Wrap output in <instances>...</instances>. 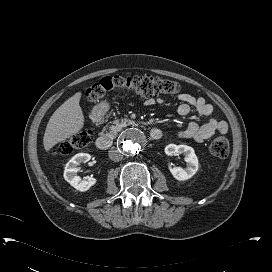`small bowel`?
Instances as JSON below:
<instances>
[{
    "instance_id": "c3829d8e",
    "label": "small bowel",
    "mask_w": 272,
    "mask_h": 272,
    "mask_svg": "<svg viewBox=\"0 0 272 272\" xmlns=\"http://www.w3.org/2000/svg\"><path fill=\"white\" fill-rule=\"evenodd\" d=\"M177 98L181 101V104L178 107V114L180 116H189L193 107L201 117L207 118V121L202 125H199L194 121L189 122L187 126L178 133L180 138H192L198 142H203L216 133L225 134L228 132V124L224 120L211 117L214 113V107L212 104L206 102L203 97H196L188 93H180ZM163 103L164 101L161 98L147 99L144 102V105L152 106L154 104L161 105Z\"/></svg>"
}]
</instances>
